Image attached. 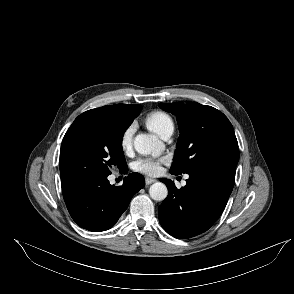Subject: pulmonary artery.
Wrapping results in <instances>:
<instances>
[{
    "mask_svg": "<svg viewBox=\"0 0 294 294\" xmlns=\"http://www.w3.org/2000/svg\"><path fill=\"white\" fill-rule=\"evenodd\" d=\"M172 133H173V130H170L167 133H165L162 138L165 140H168L171 137Z\"/></svg>",
    "mask_w": 294,
    "mask_h": 294,
    "instance_id": "1",
    "label": "pulmonary artery"
}]
</instances>
